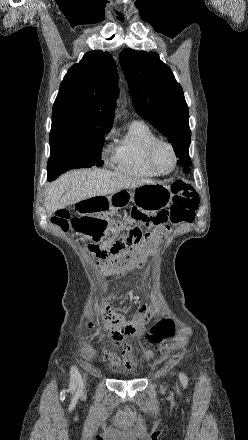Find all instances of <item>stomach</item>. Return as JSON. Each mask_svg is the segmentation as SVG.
Returning <instances> with one entry per match:
<instances>
[{
	"mask_svg": "<svg viewBox=\"0 0 248 440\" xmlns=\"http://www.w3.org/2000/svg\"><path fill=\"white\" fill-rule=\"evenodd\" d=\"M136 188V192L123 189L108 196L86 199L85 204H74L73 210L78 218H71L72 232H78L79 237H87V246H101L102 241L107 239L106 232H111V223H106V209L126 207L130 201L137 200L149 210H160L171 202V189L164 183L153 182Z\"/></svg>",
	"mask_w": 248,
	"mask_h": 440,
	"instance_id": "0dacf381",
	"label": "stomach"
}]
</instances>
